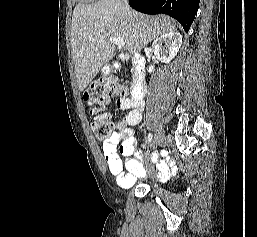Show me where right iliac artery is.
I'll return each instance as SVG.
<instances>
[{"instance_id":"1","label":"right iliac artery","mask_w":257,"mask_h":237,"mask_svg":"<svg viewBox=\"0 0 257 237\" xmlns=\"http://www.w3.org/2000/svg\"><path fill=\"white\" fill-rule=\"evenodd\" d=\"M151 141H152V134L149 133V134H148V137H147V144H149ZM156 158H157V156L154 155L153 159H156Z\"/></svg>"}]
</instances>
